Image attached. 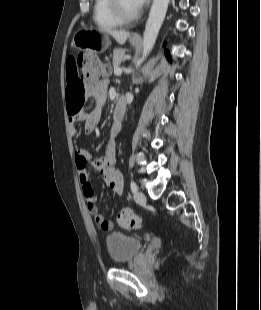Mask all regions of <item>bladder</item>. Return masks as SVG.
<instances>
[{
	"label": "bladder",
	"instance_id": "1",
	"mask_svg": "<svg viewBox=\"0 0 261 310\" xmlns=\"http://www.w3.org/2000/svg\"><path fill=\"white\" fill-rule=\"evenodd\" d=\"M105 241L109 256L115 264L132 260L143 247L140 238L122 232L108 234Z\"/></svg>",
	"mask_w": 261,
	"mask_h": 310
}]
</instances>
